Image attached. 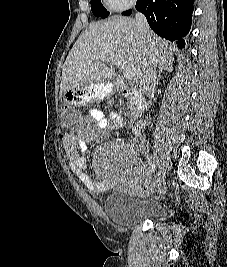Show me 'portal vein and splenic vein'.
Instances as JSON below:
<instances>
[{"label": "portal vein and splenic vein", "instance_id": "18ae733b", "mask_svg": "<svg viewBox=\"0 0 227 267\" xmlns=\"http://www.w3.org/2000/svg\"><path fill=\"white\" fill-rule=\"evenodd\" d=\"M101 60H106V58L102 57L100 58ZM115 64L118 65L123 72L124 78L126 80H132L134 78L132 70L126 66L124 61L117 60L115 61Z\"/></svg>", "mask_w": 227, "mask_h": 267}]
</instances>
